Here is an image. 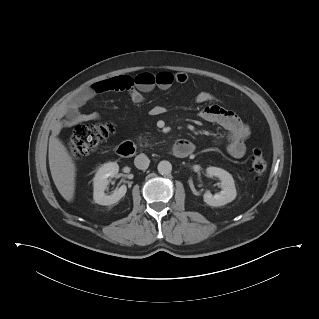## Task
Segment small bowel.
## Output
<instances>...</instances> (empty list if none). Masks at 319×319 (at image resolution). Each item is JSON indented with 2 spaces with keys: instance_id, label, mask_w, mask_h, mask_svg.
<instances>
[{
  "instance_id": "obj_1",
  "label": "small bowel",
  "mask_w": 319,
  "mask_h": 319,
  "mask_svg": "<svg viewBox=\"0 0 319 319\" xmlns=\"http://www.w3.org/2000/svg\"><path fill=\"white\" fill-rule=\"evenodd\" d=\"M130 79L131 77L127 75H115L103 78L85 88L80 94L73 97L62 107L53 124L52 132L58 133L62 128L70 127L80 122L99 120L100 115L98 113H81L80 108L97 95L122 90L123 84ZM186 81L187 76L184 73L172 74L170 72H160L157 74L155 85L139 88L133 86L125 90H127L132 102L140 104L144 101L143 93L151 91L155 86L162 90H166L174 82L183 84ZM195 100L197 103L203 104L212 102L214 97L209 92L200 91L197 93ZM163 112L164 108L162 106H155L151 109L153 115H160ZM198 116L203 121L217 124L226 131V150L231 157L239 159L245 155V141L250 135V128L233 111L218 104H210L202 108L199 111Z\"/></svg>"
}]
</instances>
